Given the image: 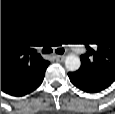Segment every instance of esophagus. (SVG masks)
<instances>
[{
    "instance_id": "obj_1",
    "label": "esophagus",
    "mask_w": 115,
    "mask_h": 114,
    "mask_svg": "<svg viewBox=\"0 0 115 114\" xmlns=\"http://www.w3.org/2000/svg\"><path fill=\"white\" fill-rule=\"evenodd\" d=\"M56 61L58 62H63L65 60V56L64 55H57L55 57Z\"/></svg>"
}]
</instances>
